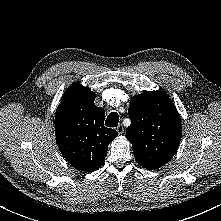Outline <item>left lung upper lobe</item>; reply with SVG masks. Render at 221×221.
<instances>
[{
	"instance_id": "1",
	"label": "left lung upper lobe",
	"mask_w": 221,
	"mask_h": 221,
	"mask_svg": "<svg viewBox=\"0 0 221 221\" xmlns=\"http://www.w3.org/2000/svg\"><path fill=\"white\" fill-rule=\"evenodd\" d=\"M128 114L131 125L126 137L136 161L154 170L169 162L181 140L179 113L164 91H146L131 99Z\"/></svg>"
}]
</instances>
